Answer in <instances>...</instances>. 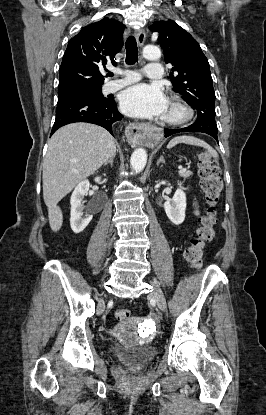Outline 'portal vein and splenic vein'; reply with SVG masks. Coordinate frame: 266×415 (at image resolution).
<instances>
[{
	"label": "portal vein and splenic vein",
	"mask_w": 266,
	"mask_h": 415,
	"mask_svg": "<svg viewBox=\"0 0 266 415\" xmlns=\"http://www.w3.org/2000/svg\"><path fill=\"white\" fill-rule=\"evenodd\" d=\"M186 171V168H180L179 173H184Z\"/></svg>",
	"instance_id": "18ae733b"
}]
</instances>
